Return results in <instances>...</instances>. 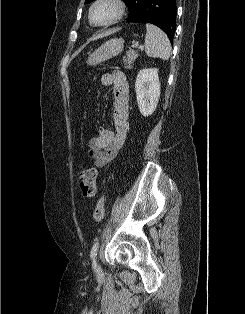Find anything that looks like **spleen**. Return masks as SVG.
I'll return each instance as SVG.
<instances>
[{
  "mask_svg": "<svg viewBox=\"0 0 245 314\" xmlns=\"http://www.w3.org/2000/svg\"><path fill=\"white\" fill-rule=\"evenodd\" d=\"M145 53L148 57L168 60L171 55V44L167 35L155 25L146 24Z\"/></svg>",
  "mask_w": 245,
  "mask_h": 314,
  "instance_id": "spleen-1",
  "label": "spleen"
}]
</instances>
